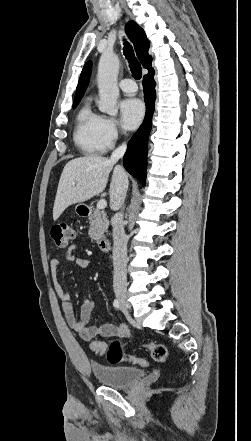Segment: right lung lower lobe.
<instances>
[{
    "mask_svg": "<svg viewBox=\"0 0 251 441\" xmlns=\"http://www.w3.org/2000/svg\"><path fill=\"white\" fill-rule=\"evenodd\" d=\"M144 100L146 104V115L144 121L128 143V149L123 158L125 169L142 185H145L148 137L151 131V120L155 106V81L154 70L149 71L143 78Z\"/></svg>",
    "mask_w": 251,
    "mask_h": 441,
    "instance_id": "1",
    "label": "right lung lower lobe"
}]
</instances>
